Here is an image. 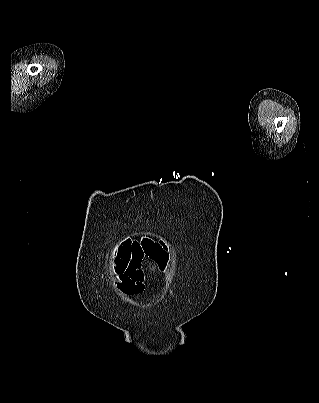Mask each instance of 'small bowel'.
Here are the masks:
<instances>
[{
	"mask_svg": "<svg viewBox=\"0 0 319 403\" xmlns=\"http://www.w3.org/2000/svg\"><path fill=\"white\" fill-rule=\"evenodd\" d=\"M148 258L164 268L168 255L161 243L152 240L124 242L114 256L111 268L118 277V288L129 294L140 292L143 287V260Z\"/></svg>",
	"mask_w": 319,
	"mask_h": 403,
	"instance_id": "small-bowel-1",
	"label": "small bowel"
}]
</instances>
